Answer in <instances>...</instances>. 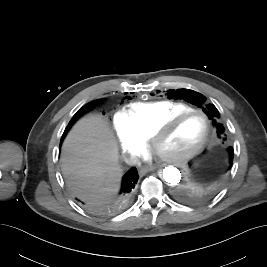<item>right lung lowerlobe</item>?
<instances>
[{"label": "right lung lower lobe", "instance_id": "right-lung-lower-lobe-1", "mask_svg": "<svg viewBox=\"0 0 267 267\" xmlns=\"http://www.w3.org/2000/svg\"><path fill=\"white\" fill-rule=\"evenodd\" d=\"M95 107L94 104H86L85 106H83L71 119V121L69 122L68 126L66 127L64 134L62 136L61 142L65 136V134L67 133V131L70 129V127L74 124V122L81 117L82 115H84L85 113L93 110V108ZM61 145V143H60ZM139 179L138 176V172L137 169L135 167H132L124 176L122 179V186H121V190H120V194H122V198L124 200H127L129 195L131 194V192L134 190L136 183Z\"/></svg>", "mask_w": 267, "mask_h": 267}]
</instances>
